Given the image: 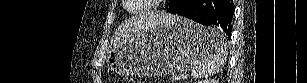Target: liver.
I'll list each match as a JSON object with an SVG mask.
<instances>
[{
	"instance_id": "1",
	"label": "liver",
	"mask_w": 307,
	"mask_h": 83,
	"mask_svg": "<svg viewBox=\"0 0 307 83\" xmlns=\"http://www.w3.org/2000/svg\"><path fill=\"white\" fill-rule=\"evenodd\" d=\"M173 15L164 12H151L142 16L131 18L121 24L112 38V43L115 45L124 43L138 35L150 26L158 25L168 21Z\"/></svg>"
}]
</instances>
